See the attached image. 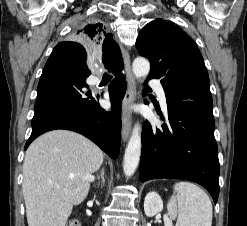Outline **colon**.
<instances>
[{
    "instance_id": "colon-1",
    "label": "colon",
    "mask_w": 247,
    "mask_h": 226,
    "mask_svg": "<svg viewBox=\"0 0 247 226\" xmlns=\"http://www.w3.org/2000/svg\"><path fill=\"white\" fill-rule=\"evenodd\" d=\"M66 226H80L77 220H69Z\"/></svg>"
}]
</instances>
